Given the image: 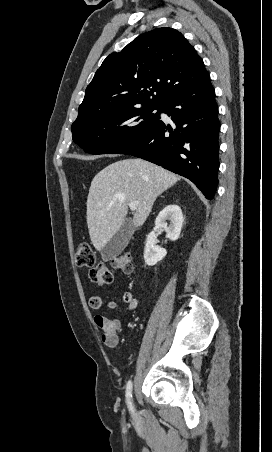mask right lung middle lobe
<instances>
[{
	"label": "right lung middle lobe",
	"instance_id": "1",
	"mask_svg": "<svg viewBox=\"0 0 272 452\" xmlns=\"http://www.w3.org/2000/svg\"><path fill=\"white\" fill-rule=\"evenodd\" d=\"M160 112L161 106L140 105L78 119L71 127L73 141L87 153H119L150 129Z\"/></svg>",
	"mask_w": 272,
	"mask_h": 452
}]
</instances>
